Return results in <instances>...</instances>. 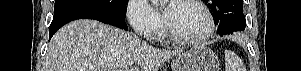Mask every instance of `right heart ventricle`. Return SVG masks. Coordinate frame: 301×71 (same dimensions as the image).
Here are the masks:
<instances>
[{
	"mask_svg": "<svg viewBox=\"0 0 301 71\" xmlns=\"http://www.w3.org/2000/svg\"><path fill=\"white\" fill-rule=\"evenodd\" d=\"M157 36H158L159 39H164L165 38V35H164L163 31L158 32Z\"/></svg>",
	"mask_w": 301,
	"mask_h": 71,
	"instance_id": "1",
	"label": "right heart ventricle"
}]
</instances>
